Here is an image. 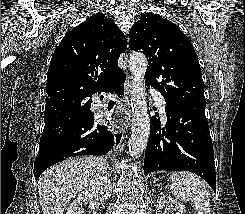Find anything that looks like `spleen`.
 Returning <instances> with one entry per match:
<instances>
[{
    "label": "spleen",
    "mask_w": 245,
    "mask_h": 214,
    "mask_svg": "<svg viewBox=\"0 0 245 214\" xmlns=\"http://www.w3.org/2000/svg\"><path fill=\"white\" fill-rule=\"evenodd\" d=\"M170 189L181 200L192 201L197 214H210V199L203 181L189 172H175L171 175Z\"/></svg>",
    "instance_id": "3e777b00"
}]
</instances>
